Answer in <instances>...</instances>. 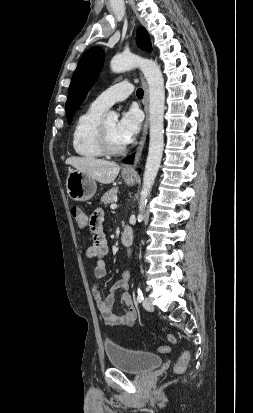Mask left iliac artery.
I'll return each instance as SVG.
<instances>
[{"label":"left iliac artery","instance_id":"left-iliac-artery-1","mask_svg":"<svg viewBox=\"0 0 253 413\" xmlns=\"http://www.w3.org/2000/svg\"><path fill=\"white\" fill-rule=\"evenodd\" d=\"M144 300L143 292L140 288L137 289V301L141 303Z\"/></svg>","mask_w":253,"mask_h":413}]
</instances>
